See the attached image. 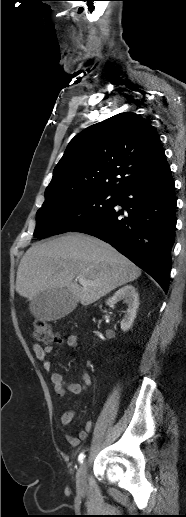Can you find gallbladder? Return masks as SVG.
I'll return each mask as SVG.
<instances>
[{
  "instance_id": "1",
  "label": "gallbladder",
  "mask_w": 186,
  "mask_h": 517,
  "mask_svg": "<svg viewBox=\"0 0 186 517\" xmlns=\"http://www.w3.org/2000/svg\"><path fill=\"white\" fill-rule=\"evenodd\" d=\"M76 303L74 296L68 291L47 290L31 301L30 311L38 319L56 320L72 312Z\"/></svg>"
}]
</instances>
